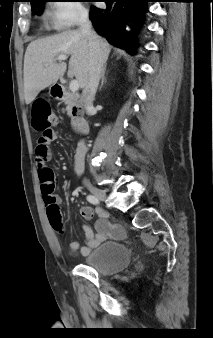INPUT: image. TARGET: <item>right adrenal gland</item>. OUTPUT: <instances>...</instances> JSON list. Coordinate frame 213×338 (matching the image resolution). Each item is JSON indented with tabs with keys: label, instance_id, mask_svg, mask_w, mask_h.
I'll return each mask as SVG.
<instances>
[{
	"label": "right adrenal gland",
	"instance_id": "1",
	"mask_svg": "<svg viewBox=\"0 0 213 338\" xmlns=\"http://www.w3.org/2000/svg\"><path fill=\"white\" fill-rule=\"evenodd\" d=\"M105 72H106V65L104 66L103 71H102L101 84H100L99 90H101V88L103 87L104 82L106 81Z\"/></svg>",
	"mask_w": 213,
	"mask_h": 338
}]
</instances>
